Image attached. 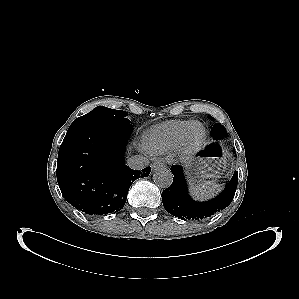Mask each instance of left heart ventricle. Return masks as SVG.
I'll return each instance as SVG.
<instances>
[{
    "instance_id": "obj_1",
    "label": "left heart ventricle",
    "mask_w": 299,
    "mask_h": 299,
    "mask_svg": "<svg viewBox=\"0 0 299 299\" xmlns=\"http://www.w3.org/2000/svg\"><path fill=\"white\" fill-rule=\"evenodd\" d=\"M201 135V128L198 125L192 127L190 131V140L196 141Z\"/></svg>"
}]
</instances>
